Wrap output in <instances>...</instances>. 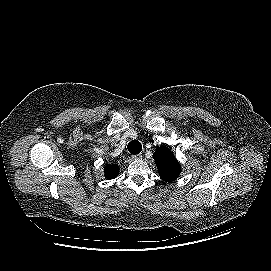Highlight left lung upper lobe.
I'll return each mask as SVG.
<instances>
[{"label":"left lung upper lobe","instance_id":"obj_1","mask_svg":"<svg viewBox=\"0 0 271 271\" xmlns=\"http://www.w3.org/2000/svg\"><path fill=\"white\" fill-rule=\"evenodd\" d=\"M154 159L159 174L164 181L171 182L179 177L181 166L166 146L157 147Z\"/></svg>","mask_w":271,"mask_h":271}]
</instances>
